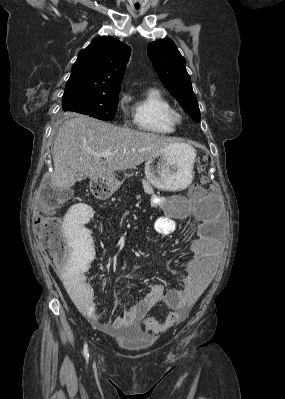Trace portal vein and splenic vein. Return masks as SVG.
I'll list each match as a JSON object with an SVG mask.
<instances>
[{"mask_svg": "<svg viewBox=\"0 0 285 399\" xmlns=\"http://www.w3.org/2000/svg\"><path fill=\"white\" fill-rule=\"evenodd\" d=\"M94 155L100 156V157H103V158H108L109 156H111V152L106 151V152H102L100 154H94Z\"/></svg>", "mask_w": 285, "mask_h": 399, "instance_id": "1", "label": "portal vein and splenic vein"}]
</instances>
